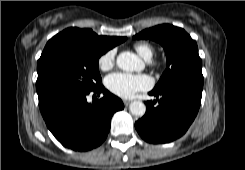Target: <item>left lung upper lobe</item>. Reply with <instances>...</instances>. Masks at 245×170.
<instances>
[{"mask_svg": "<svg viewBox=\"0 0 245 170\" xmlns=\"http://www.w3.org/2000/svg\"><path fill=\"white\" fill-rule=\"evenodd\" d=\"M134 39L157 41L165 50L167 68L152 91L177 84L203 87L202 60L197 44L182 28L158 25L140 32Z\"/></svg>", "mask_w": 245, "mask_h": 170, "instance_id": "1", "label": "left lung upper lobe"}]
</instances>
